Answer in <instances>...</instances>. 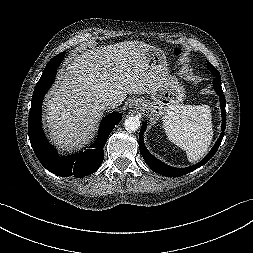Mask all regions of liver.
<instances>
[{
    "instance_id": "obj_1",
    "label": "liver",
    "mask_w": 253,
    "mask_h": 253,
    "mask_svg": "<svg viewBox=\"0 0 253 253\" xmlns=\"http://www.w3.org/2000/svg\"><path fill=\"white\" fill-rule=\"evenodd\" d=\"M147 45L119 42L85 51L66 64L45 100V120L56 145L66 149L85 140L103 114L104 99L121 104L127 94L153 93L160 77L146 61Z\"/></svg>"
}]
</instances>
